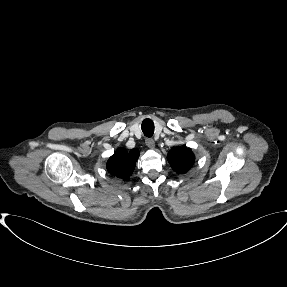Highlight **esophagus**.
<instances>
[{
  "label": "esophagus",
  "mask_w": 287,
  "mask_h": 287,
  "mask_svg": "<svg viewBox=\"0 0 287 287\" xmlns=\"http://www.w3.org/2000/svg\"><path fill=\"white\" fill-rule=\"evenodd\" d=\"M145 143L151 149H153L155 147V142L151 138H146Z\"/></svg>",
  "instance_id": "34e87169"
}]
</instances>
